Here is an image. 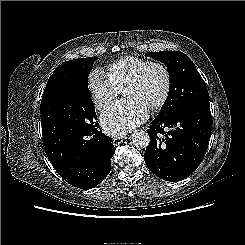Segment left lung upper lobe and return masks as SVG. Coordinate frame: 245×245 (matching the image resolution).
<instances>
[{
	"label": "left lung upper lobe",
	"instance_id": "left-lung-upper-lobe-1",
	"mask_svg": "<svg viewBox=\"0 0 245 245\" xmlns=\"http://www.w3.org/2000/svg\"><path fill=\"white\" fill-rule=\"evenodd\" d=\"M165 64L170 76L168 97L157 119H169L188 105L197 101H209L204 80L191 59L180 51L146 53Z\"/></svg>",
	"mask_w": 245,
	"mask_h": 245
}]
</instances>
